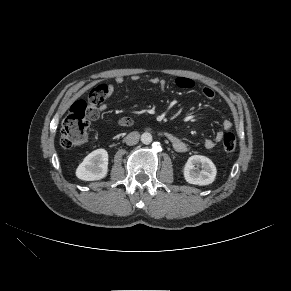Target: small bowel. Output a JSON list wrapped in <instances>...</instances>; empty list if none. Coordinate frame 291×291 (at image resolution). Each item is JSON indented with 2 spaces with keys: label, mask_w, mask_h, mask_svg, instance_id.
<instances>
[{
  "label": "small bowel",
  "mask_w": 291,
  "mask_h": 291,
  "mask_svg": "<svg viewBox=\"0 0 291 291\" xmlns=\"http://www.w3.org/2000/svg\"><path fill=\"white\" fill-rule=\"evenodd\" d=\"M132 81H138L139 80V76L138 75H133L131 77ZM124 81V78L122 76H115L113 78V83L112 84H101L99 86H97L96 88H102V98L101 101H99L97 104L93 105L91 107V119L96 120L99 116L100 112H103L107 109V104L106 101L109 99V97L112 95L113 91H114V84H122ZM149 82L152 84H158L162 89L165 87V81L159 79L158 77H152L149 79ZM176 85L182 89H192L194 87V81L190 78L187 77H178L176 79ZM202 95L208 99L211 100L215 97V92L212 88L210 87H204L202 89ZM120 124L121 120H120ZM123 126V125H122ZM232 127V124L229 120H225L223 122V128L224 130H229ZM223 137V132H218L215 136L214 139H206L204 141V146L207 149H212L216 146L217 142H220L222 140ZM169 139L174 147V149L177 152H185L188 148L186 142L173 135V134H169Z\"/></svg>",
  "instance_id": "1"
}]
</instances>
